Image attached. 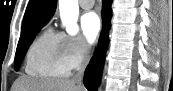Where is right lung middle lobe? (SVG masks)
<instances>
[{"mask_svg":"<svg viewBox=\"0 0 173 91\" xmlns=\"http://www.w3.org/2000/svg\"><path fill=\"white\" fill-rule=\"evenodd\" d=\"M44 25L37 26L31 30L21 32V36L19 39V43L16 50L15 55V69L18 70L20 67V64L22 63V60L24 58V55L30 46L31 42L33 41L34 37L38 33V31L43 27Z\"/></svg>","mask_w":173,"mask_h":91,"instance_id":"1","label":"right lung middle lobe"}]
</instances>
